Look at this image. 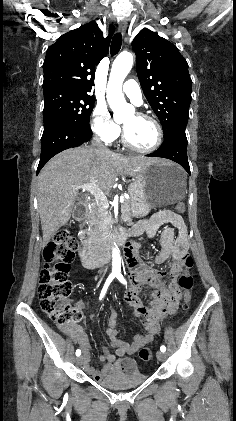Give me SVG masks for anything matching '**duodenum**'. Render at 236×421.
<instances>
[{
	"instance_id": "410a0bca",
	"label": "duodenum",
	"mask_w": 236,
	"mask_h": 421,
	"mask_svg": "<svg viewBox=\"0 0 236 421\" xmlns=\"http://www.w3.org/2000/svg\"><path fill=\"white\" fill-rule=\"evenodd\" d=\"M87 212V202L82 201L78 203L74 209V218L77 221H82ZM136 233L134 231H123V230H116L113 233L107 236L106 242L99 248L95 249H87L84 246L79 247V257L82 265L87 269H94L104 265L110 258V249L114 245H120L124 247L125 255L129 264L130 269L134 274L135 281L138 284L152 282L160 278L161 272L155 269H151L143 264H141L136 256H135V245L127 241L129 236H135ZM171 258L175 263L177 257L175 252L171 254ZM164 259L163 255L157 257V262H161ZM174 272L176 271V264L173 267ZM178 298V293L174 289H168L166 287H159L157 290L153 292L152 295V302H151V310L147 311L146 309H142L139 307H134L136 311L146 313L147 316L150 318L147 324V331L148 334L142 338H139V341H144L147 337L155 333V322L153 314H163L166 312H173L175 301ZM109 335L112 338L113 344L118 347L117 354L123 355L125 352H130L132 347L129 345L124 344L120 340L116 338L117 332L113 329H109ZM72 339L75 342H80L81 338L78 335H71ZM115 359V356L112 354H105L101 357L102 361H106L108 364L101 370L97 371L88 365L86 361L84 366L86 370L96 379L102 377V375L107 371L109 367V363Z\"/></svg>"
}]
</instances>
